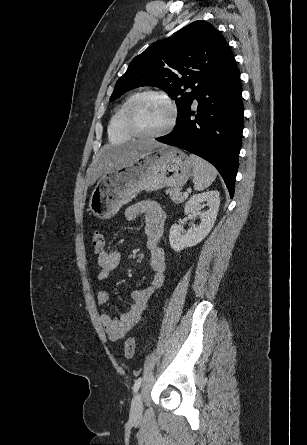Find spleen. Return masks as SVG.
Segmentation results:
<instances>
[{"mask_svg": "<svg viewBox=\"0 0 307 445\" xmlns=\"http://www.w3.org/2000/svg\"><path fill=\"white\" fill-rule=\"evenodd\" d=\"M189 158L193 164L195 190H203V188L210 186L217 176L216 168H214L210 162L204 160V158L196 156V154H190Z\"/></svg>", "mask_w": 307, "mask_h": 445, "instance_id": "obj_1", "label": "spleen"}]
</instances>
